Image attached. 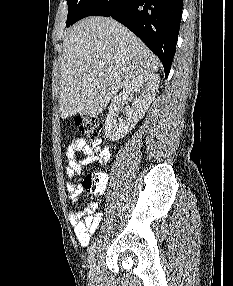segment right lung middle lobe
<instances>
[{
    "mask_svg": "<svg viewBox=\"0 0 233 286\" xmlns=\"http://www.w3.org/2000/svg\"><path fill=\"white\" fill-rule=\"evenodd\" d=\"M93 0H67L68 3V16L66 27L73 25L82 12L89 6Z\"/></svg>",
    "mask_w": 233,
    "mask_h": 286,
    "instance_id": "dd1d6c3e",
    "label": "right lung middle lobe"
}]
</instances>
